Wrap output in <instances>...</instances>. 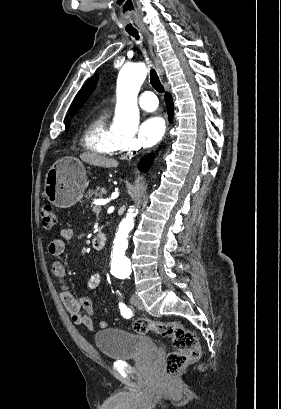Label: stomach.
I'll return each mask as SVG.
<instances>
[{"instance_id": "obj_1", "label": "stomach", "mask_w": 281, "mask_h": 409, "mask_svg": "<svg viewBox=\"0 0 281 409\" xmlns=\"http://www.w3.org/2000/svg\"><path fill=\"white\" fill-rule=\"evenodd\" d=\"M87 182L85 166L75 156H62L45 176L44 194L52 205L69 209L80 200Z\"/></svg>"}]
</instances>
